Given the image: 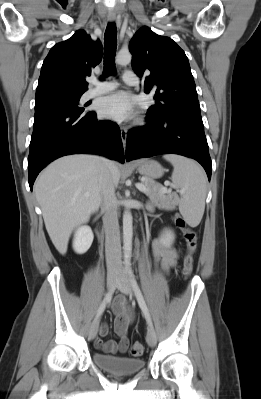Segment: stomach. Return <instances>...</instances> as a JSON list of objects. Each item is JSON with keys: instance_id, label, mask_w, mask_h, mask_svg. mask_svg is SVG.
Here are the masks:
<instances>
[{"instance_id": "1", "label": "stomach", "mask_w": 261, "mask_h": 399, "mask_svg": "<svg viewBox=\"0 0 261 399\" xmlns=\"http://www.w3.org/2000/svg\"><path fill=\"white\" fill-rule=\"evenodd\" d=\"M137 170L140 174L151 178V179H157L162 177L164 174V169L155 160H150V159H144L140 160L136 163Z\"/></svg>"}]
</instances>
